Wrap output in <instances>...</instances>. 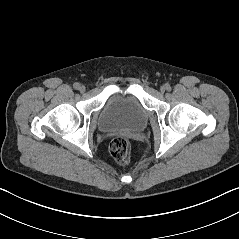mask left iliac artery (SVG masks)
Wrapping results in <instances>:
<instances>
[{"label":"left iliac artery","instance_id":"left-iliac-artery-1","mask_svg":"<svg viewBox=\"0 0 239 239\" xmlns=\"http://www.w3.org/2000/svg\"><path fill=\"white\" fill-rule=\"evenodd\" d=\"M165 86L167 91H171V86L169 84H166Z\"/></svg>","mask_w":239,"mask_h":239}]
</instances>
